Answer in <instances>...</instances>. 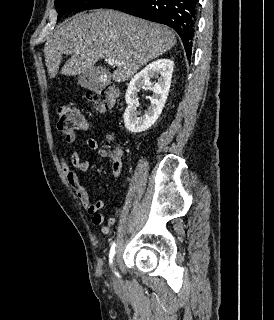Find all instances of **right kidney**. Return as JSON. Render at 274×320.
Segmentation results:
<instances>
[{
	"label": "right kidney",
	"mask_w": 274,
	"mask_h": 320,
	"mask_svg": "<svg viewBox=\"0 0 274 320\" xmlns=\"http://www.w3.org/2000/svg\"><path fill=\"white\" fill-rule=\"evenodd\" d=\"M173 68L174 62L172 60H155L132 78L125 94L127 108L123 116L125 128L128 132H132V134L146 132L158 120L169 94ZM158 74L157 82L151 84L150 78H154ZM143 86H149L153 96L149 98L151 104L144 116L138 118L136 104L138 102V92Z\"/></svg>",
	"instance_id": "ca27d5eb"
}]
</instances>
